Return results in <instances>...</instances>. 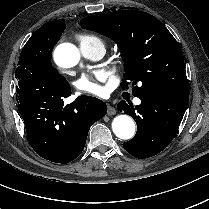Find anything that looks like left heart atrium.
<instances>
[{"label": "left heart atrium", "instance_id": "obj_1", "mask_svg": "<svg viewBox=\"0 0 209 209\" xmlns=\"http://www.w3.org/2000/svg\"><path fill=\"white\" fill-rule=\"evenodd\" d=\"M99 81L100 78L98 76L86 74L76 81V87L81 93L101 97L104 94V90Z\"/></svg>", "mask_w": 209, "mask_h": 209}]
</instances>
